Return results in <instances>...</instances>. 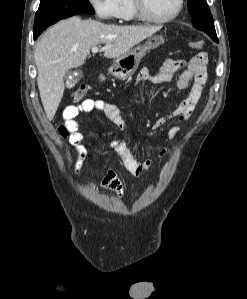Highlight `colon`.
<instances>
[{
    "label": "colon",
    "instance_id": "colon-1",
    "mask_svg": "<svg viewBox=\"0 0 247 299\" xmlns=\"http://www.w3.org/2000/svg\"><path fill=\"white\" fill-rule=\"evenodd\" d=\"M189 46L192 49H196V50L201 49L203 47V41L201 40L191 41L189 43ZM87 92H88V86L86 84H80L72 91L71 96L73 97L74 100H81L82 98L85 97Z\"/></svg>",
    "mask_w": 247,
    "mask_h": 299
}]
</instances>
